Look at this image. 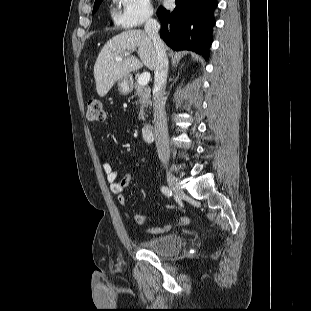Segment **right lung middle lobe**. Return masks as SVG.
I'll return each mask as SVG.
<instances>
[{"label":"right lung middle lobe","mask_w":311,"mask_h":311,"mask_svg":"<svg viewBox=\"0 0 311 311\" xmlns=\"http://www.w3.org/2000/svg\"><path fill=\"white\" fill-rule=\"evenodd\" d=\"M101 2H102V0L95 1L92 14H94L96 12V10L98 9V7L101 4Z\"/></svg>","instance_id":"1"}]
</instances>
